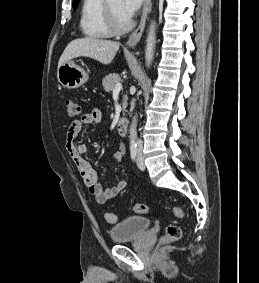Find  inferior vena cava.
<instances>
[{"label":"inferior vena cava","mask_w":259,"mask_h":283,"mask_svg":"<svg viewBox=\"0 0 259 283\" xmlns=\"http://www.w3.org/2000/svg\"><path fill=\"white\" fill-rule=\"evenodd\" d=\"M137 145H138V149H141V148H142V141H141V140H138V141H137Z\"/></svg>","instance_id":"1"}]
</instances>
